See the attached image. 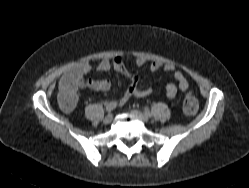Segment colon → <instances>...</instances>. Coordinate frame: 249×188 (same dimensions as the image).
<instances>
[{"label": "colon", "instance_id": "obj_1", "mask_svg": "<svg viewBox=\"0 0 249 188\" xmlns=\"http://www.w3.org/2000/svg\"><path fill=\"white\" fill-rule=\"evenodd\" d=\"M60 101L72 110L75 106V98L71 92H65L59 94ZM183 112L188 115H194L198 110V100L191 94L188 93L183 98Z\"/></svg>", "mask_w": 249, "mask_h": 188}]
</instances>
